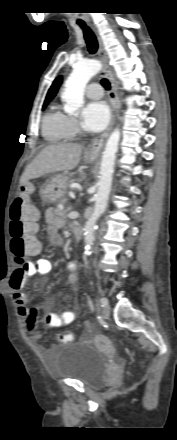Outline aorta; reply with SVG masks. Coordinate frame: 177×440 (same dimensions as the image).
Listing matches in <instances>:
<instances>
[{
  "label": "aorta",
  "instance_id": "1",
  "mask_svg": "<svg viewBox=\"0 0 177 440\" xmlns=\"http://www.w3.org/2000/svg\"><path fill=\"white\" fill-rule=\"evenodd\" d=\"M102 68L98 60H87L78 62L70 76L65 82L63 98L66 102L65 111L74 114L82 105L84 91L89 80L96 75ZM120 140V131L114 129L107 140L101 161L99 187L95 196V205L93 213L85 224L84 242L85 253L91 254L94 241V233L97 228V221L107 207L109 194L112 187V176L114 170V161L118 150Z\"/></svg>",
  "mask_w": 177,
  "mask_h": 440
}]
</instances>
